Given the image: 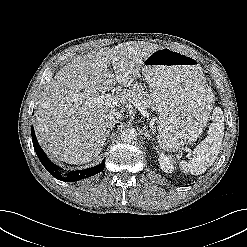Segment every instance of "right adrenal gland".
<instances>
[{
    "label": "right adrenal gland",
    "mask_w": 247,
    "mask_h": 247,
    "mask_svg": "<svg viewBox=\"0 0 247 247\" xmlns=\"http://www.w3.org/2000/svg\"><path fill=\"white\" fill-rule=\"evenodd\" d=\"M112 131V128L111 129H108L107 132H106V137H107V142L105 143V145L108 143V137H109V134L110 132Z\"/></svg>",
    "instance_id": "1"
}]
</instances>
